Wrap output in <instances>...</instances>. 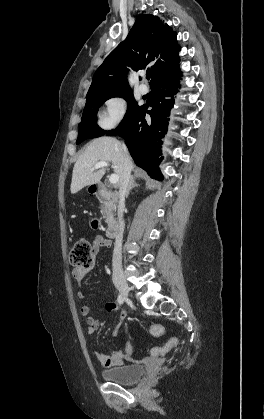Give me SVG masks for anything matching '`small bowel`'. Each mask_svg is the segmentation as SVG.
I'll return each instance as SVG.
<instances>
[{
    "instance_id": "obj_1",
    "label": "small bowel",
    "mask_w": 264,
    "mask_h": 419,
    "mask_svg": "<svg viewBox=\"0 0 264 419\" xmlns=\"http://www.w3.org/2000/svg\"><path fill=\"white\" fill-rule=\"evenodd\" d=\"M111 246H112V242L109 239L104 238L101 235H97L92 242L93 255H96L101 248H110ZM89 270H90V268L84 269V268L76 267L72 271V276H73V278L75 279V281L77 282V284L80 288L79 296L81 298L84 297V294H83L84 280H85V277H86L87 273L89 272ZM105 308H106L107 312L111 315H114L115 318L118 321L116 327L112 331V335L114 337H118L119 334H120V326H121L122 321L125 318V315L124 314L116 315L117 307L112 302L106 303ZM80 313H81L82 316L85 317V321H86V324L88 326V333L89 334H94L101 328L100 321L97 320L96 318L90 316V307L89 306L83 305L80 308ZM155 329L158 330V334L156 335V337H159L163 334V328H162L161 325H158V324L153 325L150 329L151 334ZM174 340H177V339L176 338H171L170 340H168V342L164 346L151 348L150 351H149L150 356L151 357H159V356L165 355L166 353H168L173 348V346H171V343ZM132 354H133L132 344L126 343L125 348H124V352L116 351L112 354H107V353H104V352H101V351H97L96 352V357H97V359L99 360V362L101 363L102 366H104L106 368H111V367L122 365L125 361L130 359Z\"/></svg>"
}]
</instances>
